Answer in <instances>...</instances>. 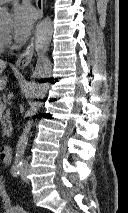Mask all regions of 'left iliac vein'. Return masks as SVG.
I'll return each instance as SVG.
<instances>
[{
	"label": "left iliac vein",
	"instance_id": "obj_1",
	"mask_svg": "<svg viewBox=\"0 0 128 213\" xmlns=\"http://www.w3.org/2000/svg\"><path fill=\"white\" fill-rule=\"evenodd\" d=\"M27 174H28V168L27 167H23L21 169V178H22L23 182H25V183L29 182Z\"/></svg>",
	"mask_w": 128,
	"mask_h": 213
}]
</instances>
